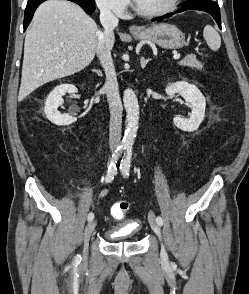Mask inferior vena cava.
Returning <instances> with one entry per match:
<instances>
[{"instance_id": "obj_1", "label": "inferior vena cava", "mask_w": 249, "mask_h": 294, "mask_svg": "<svg viewBox=\"0 0 249 294\" xmlns=\"http://www.w3.org/2000/svg\"><path fill=\"white\" fill-rule=\"evenodd\" d=\"M100 22L104 30L100 33L96 53L106 75L103 90L106 93L110 108L109 144L113 148L117 147L121 142L123 111L115 68L111 57L113 29L118 25V18L110 9L103 6L100 8Z\"/></svg>"}]
</instances>
